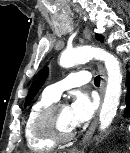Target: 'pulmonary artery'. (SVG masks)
Listing matches in <instances>:
<instances>
[{"label":"pulmonary artery","mask_w":130,"mask_h":153,"mask_svg":"<svg viewBox=\"0 0 130 153\" xmlns=\"http://www.w3.org/2000/svg\"><path fill=\"white\" fill-rule=\"evenodd\" d=\"M90 81V74L87 71L75 72L69 74L65 79L51 84L45 89V92L58 100L63 91L84 85Z\"/></svg>","instance_id":"e3ab8cb5"}]
</instances>
